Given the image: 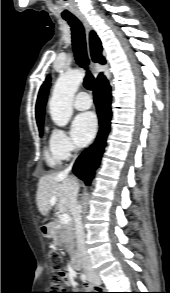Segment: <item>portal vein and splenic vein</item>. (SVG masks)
<instances>
[{
    "label": "portal vein and splenic vein",
    "mask_w": 170,
    "mask_h": 293,
    "mask_svg": "<svg viewBox=\"0 0 170 293\" xmlns=\"http://www.w3.org/2000/svg\"><path fill=\"white\" fill-rule=\"evenodd\" d=\"M56 201H57V198L56 197H52L49 200V202H50L51 205H54L56 203ZM70 221H71V218H70V216L68 214L64 213V214L61 215L60 222L62 224H69Z\"/></svg>",
    "instance_id": "obj_1"
}]
</instances>
